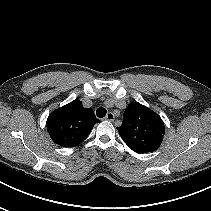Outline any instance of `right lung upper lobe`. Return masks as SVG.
<instances>
[{
  "instance_id": "right-lung-upper-lobe-1",
  "label": "right lung upper lobe",
  "mask_w": 211,
  "mask_h": 211,
  "mask_svg": "<svg viewBox=\"0 0 211 211\" xmlns=\"http://www.w3.org/2000/svg\"><path fill=\"white\" fill-rule=\"evenodd\" d=\"M96 118L92 108H84L79 100L53 111L46 122L51 139L62 147L80 144L91 132Z\"/></svg>"
}]
</instances>
